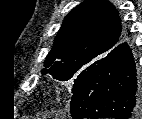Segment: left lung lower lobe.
<instances>
[{"instance_id":"0a47b994","label":"left lung lower lobe","mask_w":142,"mask_h":119,"mask_svg":"<svg viewBox=\"0 0 142 119\" xmlns=\"http://www.w3.org/2000/svg\"><path fill=\"white\" fill-rule=\"evenodd\" d=\"M141 111L136 66L124 42L112 49L74 91L71 116L74 119H137Z\"/></svg>"}]
</instances>
